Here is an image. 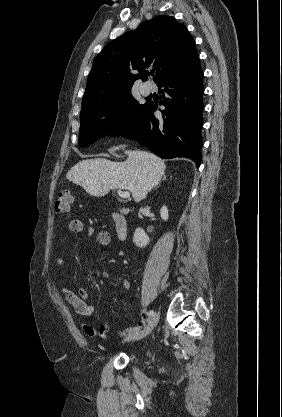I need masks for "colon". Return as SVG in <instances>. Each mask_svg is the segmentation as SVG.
I'll return each instance as SVG.
<instances>
[{
	"instance_id": "1",
	"label": "colon",
	"mask_w": 282,
	"mask_h": 417,
	"mask_svg": "<svg viewBox=\"0 0 282 417\" xmlns=\"http://www.w3.org/2000/svg\"><path fill=\"white\" fill-rule=\"evenodd\" d=\"M73 204V196L69 189L64 188L59 191L55 198L54 209L59 214H65Z\"/></svg>"
}]
</instances>
